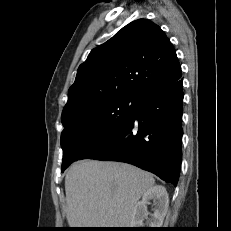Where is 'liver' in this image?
I'll list each match as a JSON object with an SVG mask.
<instances>
[{
  "instance_id": "1",
  "label": "liver",
  "mask_w": 231,
  "mask_h": 231,
  "mask_svg": "<svg viewBox=\"0 0 231 231\" xmlns=\"http://www.w3.org/2000/svg\"><path fill=\"white\" fill-rule=\"evenodd\" d=\"M153 176L129 164L83 160L65 177L67 221L71 228H129Z\"/></svg>"
}]
</instances>
